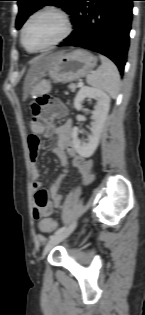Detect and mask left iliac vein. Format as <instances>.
Returning a JSON list of instances; mask_svg holds the SVG:
<instances>
[{
  "label": "left iliac vein",
  "instance_id": "1",
  "mask_svg": "<svg viewBox=\"0 0 145 315\" xmlns=\"http://www.w3.org/2000/svg\"><path fill=\"white\" fill-rule=\"evenodd\" d=\"M77 222H73L70 226H68L64 231H62L59 234L53 235L48 243L45 246L44 249V255L51 250L55 245L63 241L65 238H67L76 228Z\"/></svg>",
  "mask_w": 145,
  "mask_h": 315
}]
</instances>
